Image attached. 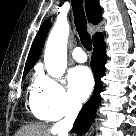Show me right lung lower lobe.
<instances>
[{
	"instance_id": "obj_1",
	"label": "right lung lower lobe",
	"mask_w": 136,
	"mask_h": 136,
	"mask_svg": "<svg viewBox=\"0 0 136 136\" xmlns=\"http://www.w3.org/2000/svg\"><path fill=\"white\" fill-rule=\"evenodd\" d=\"M93 44L94 50L91 59V67L95 76L96 85L93 95L81 109L74 123V127L71 130L72 133L78 135L86 133L95 119L97 107L100 102V92L102 88L101 78L105 73L106 53L103 36L94 41Z\"/></svg>"
}]
</instances>
